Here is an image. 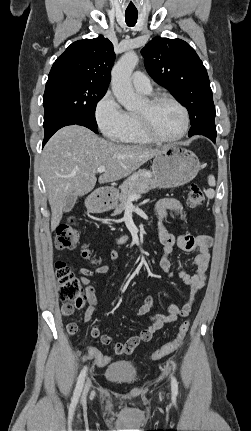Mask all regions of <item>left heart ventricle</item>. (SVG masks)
Listing matches in <instances>:
<instances>
[{
	"label": "left heart ventricle",
	"mask_w": 251,
	"mask_h": 431,
	"mask_svg": "<svg viewBox=\"0 0 251 431\" xmlns=\"http://www.w3.org/2000/svg\"><path fill=\"white\" fill-rule=\"evenodd\" d=\"M137 114H148L154 130L162 137L178 135L183 126V114L173 103L164 101L153 108L145 102Z\"/></svg>",
	"instance_id": "obj_1"
}]
</instances>
